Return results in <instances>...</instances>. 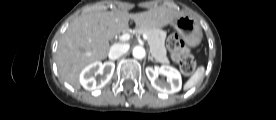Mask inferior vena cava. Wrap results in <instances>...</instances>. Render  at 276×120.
<instances>
[{"label": "inferior vena cava", "mask_w": 276, "mask_h": 120, "mask_svg": "<svg viewBox=\"0 0 276 120\" xmlns=\"http://www.w3.org/2000/svg\"><path fill=\"white\" fill-rule=\"evenodd\" d=\"M130 46L128 44H121V43H116L111 46L110 51H109V59L110 60H116L123 54L127 53L129 50Z\"/></svg>", "instance_id": "inferior-vena-cava-1"}]
</instances>
